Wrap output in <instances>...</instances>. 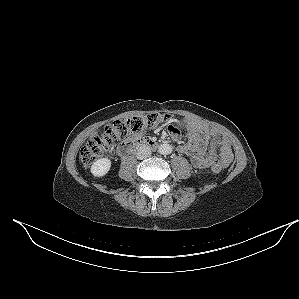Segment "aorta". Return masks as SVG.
I'll return each instance as SVG.
<instances>
[{
    "mask_svg": "<svg viewBox=\"0 0 299 299\" xmlns=\"http://www.w3.org/2000/svg\"><path fill=\"white\" fill-rule=\"evenodd\" d=\"M160 154L168 155L172 152V147L169 144H163L159 147Z\"/></svg>",
    "mask_w": 299,
    "mask_h": 299,
    "instance_id": "aorta-1",
    "label": "aorta"
}]
</instances>
